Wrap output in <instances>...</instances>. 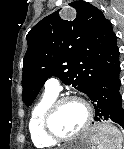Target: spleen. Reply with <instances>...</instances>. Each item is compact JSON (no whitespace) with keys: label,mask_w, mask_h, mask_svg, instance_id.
Wrapping results in <instances>:
<instances>
[{"label":"spleen","mask_w":124,"mask_h":149,"mask_svg":"<svg viewBox=\"0 0 124 149\" xmlns=\"http://www.w3.org/2000/svg\"><path fill=\"white\" fill-rule=\"evenodd\" d=\"M92 140L98 145L97 149H122V136L118 129L112 125H103Z\"/></svg>","instance_id":"obj_1"}]
</instances>
